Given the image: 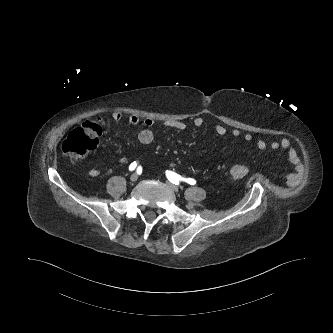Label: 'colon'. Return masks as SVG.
I'll list each match as a JSON object with an SVG mask.
<instances>
[{"label": "colon", "mask_w": 333, "mask_h": 333, "mask_svg": "<svg viewBox=\"0 0 333 333\" xmlns=\"http://www.w3.org/2000/svg\"><path fill=\"white\" fill-rule=\"evenodd\" d=\"M102 134V122L98 119L87 120L73 130L62 144V152L72 162L94 150ZM229 174L234 179H243L248 174V168L241 163L233 164Z\"/></svg>", "instance_id": "obj_1"}]
</instances>
